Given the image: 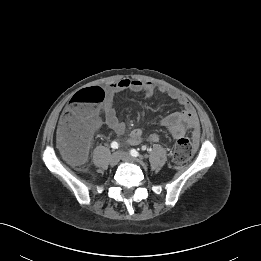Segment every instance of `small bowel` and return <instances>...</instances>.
Wrapping results in <instances>:
<instances>
[{"label":"small bowel","mask_w":261,"mask_h":261,"mask_svg":"<svg viewBox=\"0 0 261 261\" xmlns=\"http://www.w3.org/2000/svg\"><path fill=\"white\" fill-rule=\"evenodd\" d=\"M131 90L133 92H143L145 98H151L156 90L167 94L172 99L176 100L181 106L182 110L173 112L160 120V124L166 127L174 138H179L190 132L193 140L198 142L200 138V124L198 118L186 97L179 91L160 86H156L151 82L141 81L137 79H122L110 84L106 89V98L102 105L101 111L103 117L96 111L88 122V133L91 136L94 132L102 126H106L113 130L116 134H123L125 132V125L119 120L114 108V96L122 91ZM143 132L141 129H134L129 133L128 142L130 144H138L141 142ZM151 142L159 140L158 133H151L149 135Z\"/></svg>","instance_id":"small-bowel-1"}]
</instances>
